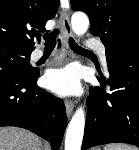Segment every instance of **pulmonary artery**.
<instances>
[{"label":"pulmonary artery","mask_w":139,"mask_h":150,"mask_svg":"<svg viewBox=\"0 0 139 150\" xmlns=\"http://www.w3.org/2000/svg\"><path fill=\"white\" fill-rule=\"evenodd\" d=\"M87 48L89 49H94L98 52V54L100 55L102 61L104 62V64H106V48L105 45L98 41V40H89L86 43ZM43 56V52L41 50H35L32 53V58L34 60H38Z\"/></svg>","instance_id":"e3ab8cb5"}]
</instances>
